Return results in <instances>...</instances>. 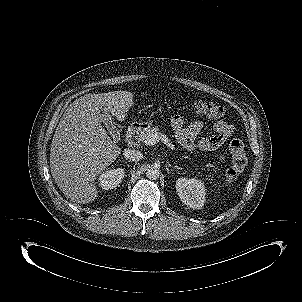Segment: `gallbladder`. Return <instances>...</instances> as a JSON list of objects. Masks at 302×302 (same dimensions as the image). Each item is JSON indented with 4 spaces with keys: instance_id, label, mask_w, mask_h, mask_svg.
Segmentation results:
<instances>
[{
    "instance_id": "obj_1",
    "label": "gallbladder",
    "mask_w": 302,
    "mask_h": 302,
    "mask_svg": "<svg viewBox=\"0 0 302 302\" xmlns=\"http://www.w3.org/2000/svg\"><path fill=\"white\" fill-rule=\"evenodd\" d=\"M103 116H104L103 123L105 124L109 132L115 136L116 127L113 123L111 115L109 113H104Z\"/></svg>"
}]
</instances>
